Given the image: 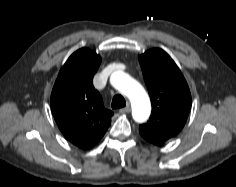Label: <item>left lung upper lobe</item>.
<instances>
[{
	"label": "left lung upper lobe",
	"instance_id": "1",
	"mask_svg": "<svg viewBox=\"0 0 236 187\" xmlns=\"http://www.w3.org/2000/svg\"><path fill=\"white\" fill-rule=\"evenodd\" d=\"M139 62L152 103L151 117L139 126V132L145 140L162 146L185 125L191 108L190 90L175 62L163 50H148L139 56Z\"/></svg>",
	"mask_w": 236,
	"mask_h": 187
}]
</instances>
